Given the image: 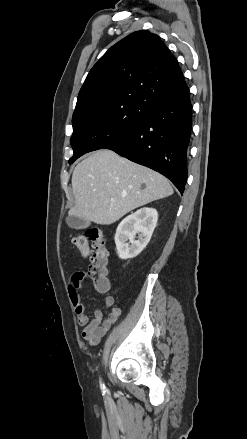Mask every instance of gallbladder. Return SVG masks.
Segmentation results:
<instances>
[{
  "mask_svg": "<svg viewBox=\"0 0 247 439\" xmlns=\"http://www.w3.org/2000/svg\"><path fill=\"white\" fill-rule=\"evenodd\" d=\"M66 222L69 227L74 229H84L90 225L89 221L83 220L82 218L75 215H69L66 218Z\"/></svg>",
  "mask_w": 247,
  "mask_h": 439,
  "instance_id": "bac80fb5",
  "label": "gallbladder"
}]
</instances>
